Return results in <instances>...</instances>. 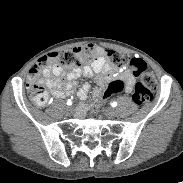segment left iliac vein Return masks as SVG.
Listing matches in <instances>:
<instances>
[{
	"label": "left iliac vein",
	"mask_w": 183,
	"mask_h": 183,
	"mask_svg": "<svg viewBox=\"0 0 183 183\" xmlns=\"http://www.w3.org/2000/svg\"><path fill=\"white\" fill-rule=\"evenodd\" d=\"M105 115L109 118L118 116V110L116 108H108L105 110Z\"/></svg>",
	"instance_id": "obj_1"
}]
</instances>
